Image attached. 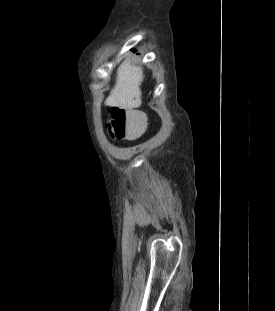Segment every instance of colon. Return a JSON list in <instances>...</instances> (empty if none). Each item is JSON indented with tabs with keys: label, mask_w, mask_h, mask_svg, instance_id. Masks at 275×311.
<instances>
[{
	"label": "colon",
	"mask_w": 275,
	"mask_h": 311,
	"mask_svg": "<svg viewBox=\"0 0 275 311\" xmlns=\"http://www.w3.org/2000/svg\"><path fill=\"white\" fill-rule=\"evenodd\" d=\"M146 127V117L138 112H126L114 108L108 124L109 134L114 140L130 139L141 135Z\"/></svg>",
	"instance_id": "5ec220e1"
}]
</instances>
